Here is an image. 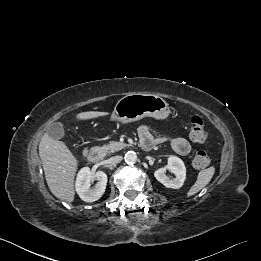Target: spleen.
Masks as SVG:
<instances>
[{"label": "spleen", "mask_w": 261, "mask_h": 261, "mask_svg": "<svg viewBox=\"0 0 261 261\" xmlns=\"http://www.w3.org/2000/svg\"><path fill=\"white\" fill-rule=\"evenodd\" d=\"M215 173L214 167H209L207 169L201 170L198 174L197 180L194 185L190 188L187 193L188 197H191L202 190L210 181Z\"/></svg>", "instance_id": "obj_1"}]
</instances>
